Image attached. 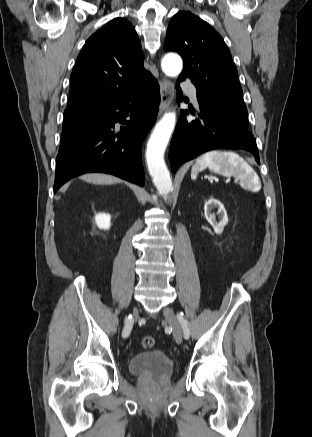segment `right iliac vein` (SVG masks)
Masks as SVG:
<instances>
[{
  "label": "right iliac vein",
  "instance_id": "right-iliac-vein-1",
  "mask_svg": "<svg viewBox=\"0 0 312 437\" xmlns=\"http://www.w3.org/2000/svg\"><path fill=\"white\" fill-rule=\"evenodd\" d=\"M137 318H138V310L135 309V310L133 311V319H137Z\"/></svg>",
  "mask_w": 312,
  "mask_h": 437
}]
</instances>
